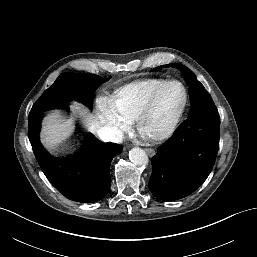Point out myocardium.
<instances>
[{"mask_svg": "<svg viewBox=\"0 0 257 257\" xmlns=\"http://www.w3.org/2000/svg\"><path fill=\"white\" fill-rule=\"evenodd\" d=\"M179 85L183 91V101L178 108V110L174 113L170 121L167 123V125L159 132L157 133H148L144 130V123L146 119L149 117V115L154 110L161 94L163 91L170 85ZM188 103V92L185 87V85L178 81V80H169L160 85L150 96V98L147 100V102L144 104V106L141 108V110L138 112L135 120H136V127L140 135L153 143L160 142L166 138H168L176 129L178 123L181 120V117L186 109Z\"/></svg>", "mask_w": 257, "mask_h": 257, "instance_id": "1", "label": "myocardium"}]
</instances>
